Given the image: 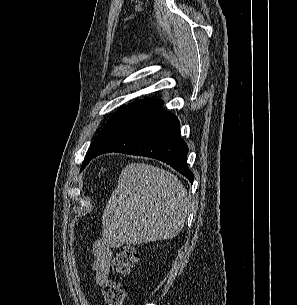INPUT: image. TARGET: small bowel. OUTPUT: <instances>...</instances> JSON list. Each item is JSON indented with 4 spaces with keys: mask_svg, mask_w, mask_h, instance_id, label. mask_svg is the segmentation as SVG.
<instances>
[{
    "mask_svg": "<svg viewBox=\"0 0 297 305\" xmlns=\"http://www.w3.org/2000/svg\"><path fill=\"white\" fill-rule=\"evenodd\" d=\"M113 245L107 238L99 239L92 249V269L96 283L102 286L110 275Z\"/></svg>",
    "mask_w": 297,
    "mask_h": 305,
    "instance_id": "1",
    "label": "small bowel"
}]
</instances>
